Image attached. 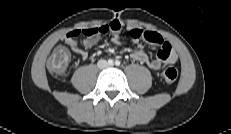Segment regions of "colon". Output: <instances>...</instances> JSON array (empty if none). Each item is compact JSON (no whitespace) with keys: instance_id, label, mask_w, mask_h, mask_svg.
<instances>
[{"instance_id":"colon-1","label":"colon","mask_w":231,"mask_h":134,"mask_svg":"<svg viewBox=\"0 0 231 134\" xmlns=\"http://www.w3.org/2000/svg\"><path fill=\"white\" fill-rule=\"evenodd\" d=\"M69 52L65 47H57L47 62L48 70L56 75L63 74L69 63ZM178 72L174 67H167L161 74V79L167 84H172L176 81Z\"/></svg>"}]
</instances>
